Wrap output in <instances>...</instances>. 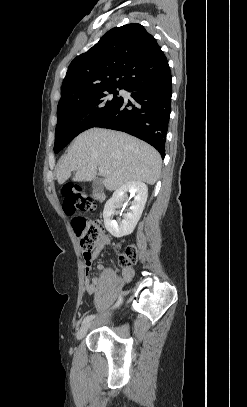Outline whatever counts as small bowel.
Returning a JSON list of instances; mask_svg holds the SVG:
<instances>
[{
    "label": "small bowel",
    "instance_id": "c3829d8e",
    "mask_svg": "<svg viewBox=\"0 0 247 407\" xmlns=\"http://www.w3.org/2000/svg\"><path fill=\"white\" fill-rule=\"evenodd\" d=\"M109 240L107 237H103L98 245L96 246L95 251L90 254L89 256H84V272L85 275L87 276L91 269H92V264L93 262L98 258L100 252L102 251L103 247L108 244ZM98 270L100 271H105V267L101 264L97 265ZM123 281L124 282H129L132 280L134 276V271L132 268H126L123 270ZM101 279L100 277H93L90 281L86 279L85 281V290L88 294H93L96 292L97 287L100 285Z\"/></svg>",
    "mask_w": 247,
    "mask_h": 407
}]
</instances>
